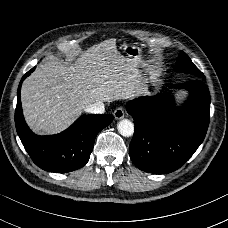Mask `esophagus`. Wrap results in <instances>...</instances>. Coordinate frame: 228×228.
<instances>
[{"label":"esophagus","instance_id":"1","mask_svg":"<svg viewBox=\"0 0 228 228\" xmlns=\"http://www.w3.org/2000/svg\"><path fill=\"white\" fill-rule=\"evenodd\" d=\"M114 117L115 119L119 120L122 119L124 117V109L122 107H118L115 111H114Z\"/></svg>","mask_w":228,"mask_h":228}]
</instances>
